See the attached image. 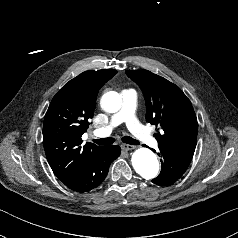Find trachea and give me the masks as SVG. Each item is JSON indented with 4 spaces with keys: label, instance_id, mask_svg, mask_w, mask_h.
Returning <instances> with one entry per match:
<instances>
[{
    "label": "trachea",
    "instance_id": "obj_1",
    "mask_svg": "<svg viewBox=\"0 0 238 238\" xmlns=\"http://www.w3.org/2000/svg\"><path fill=\"white\" fill-rule=\"evenodd\" d=\"M122 141L124 143L130 144V145H139V141L131 138L130 136H124L122 138ZM94 143L98 144V145H110L114 142L113 138H103V139H97V140H93Z\"/></svg>",
    "mask_w": 238,
    "mask_h": 238
}]
</instances>
